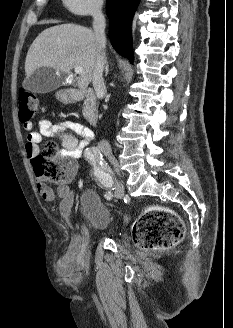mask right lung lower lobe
<instances>
[{"instance_id":"98d812e1","label":"right lung lower lobe","mask_w":233,"mask_h":328,"mask_svg":"<svg viewBox=\"0 0 233 328\" xmlns=\"http://www.w3.org/2000/svg\"><path fill=\"white\" fill-rule=\"evenodd\" d=\"M140 0H108L110 39L114 49L133 62L131 21Z\"/></svg>"}]
</instances>
